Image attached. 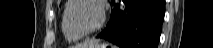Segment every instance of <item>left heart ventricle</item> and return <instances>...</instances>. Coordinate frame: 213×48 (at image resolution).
I'll use <instances>...</instances> for the list:
<instances>
[{
  "instance_id": "obj_1",
  "label": "left heart ventricle",
  "mask_w": 213,
  "mask_h": 48,
  "mask_svg": "<svg viewBox=\"0 0 213 48\" xmlns=\"http://www.w3.org/2000/svg\"><path fill=\"white\" fill-rule=\"evenodd\" d=\"M70 19L77 29L87 31L98 24L100 20V10L98 6L92 2L81 1L73 7Z\"/></svg>"
}]
</instances>
